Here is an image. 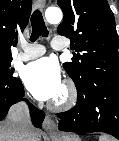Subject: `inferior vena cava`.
Here are the masks:
<instances>
[{"mask_svg":"<svg viewBox=\"0 0 119 141\" xmlns=\"http://www.w3.org/2000/svg\"><path fill=\"white\" fill-rule=\"evenodd\" d=\"M8 121L14 126L20 141H27L32 122L29 107L25 102H18L12 105L7 115Z\"/></svg>","mask_w":119,"mask_h":141,"instance_id":"inferior-vena-cava-1","label":"inferior vena cava"}]
</instances>
